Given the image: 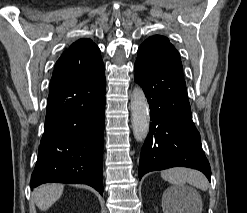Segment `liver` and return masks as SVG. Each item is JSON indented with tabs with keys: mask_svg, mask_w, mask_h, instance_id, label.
Returning <instances> with one entry per match:
<instances>
[{
	"mask_svg": "<svg viewBox=\"0 0 247 213\" xmlns=\"http://www.w3.org/2000/svg\"><path fill=\"white\" fill-rule=\"evenodd\" d=\"M63 189L64 185L56 183L37 187L33 192L35 204L46 211L61 197Z\"/></svg>",
	"mask_w": 247,
	"mask_h": 213,
	"instance_id": "obj_1",
	"label": "liver"
}]
</instances>
